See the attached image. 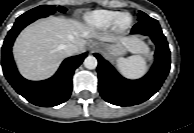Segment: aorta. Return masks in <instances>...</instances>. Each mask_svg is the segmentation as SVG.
<instances>
[{
	"mask_svg": "<svg viewBox=\"0 0 194 133\" xmlns=\"http://www.w3.org/2000/svg\"><path fill=\"white\" fill-rule=\"evenodd\" d=\"M97 59L94 56H87L84 60V66L87 69H95L97 67Z\"/></svg>",
	"mask_w": 194,
	"mask_h": 133,
	"instance_id": "aorta-1",
	"label": "aorta"
}]
</instances>
